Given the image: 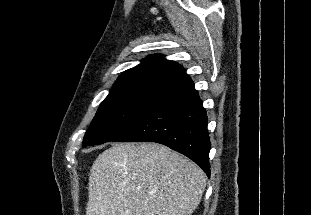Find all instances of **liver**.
<instances>
[{
    "label": "liver",
    "instance_id": "1",
    "mask_svg": "<svg viewBox=\"0 0 311 215\" xmlns=\"http://www.w3.org/2000/svg\"><path fill=\"white\" fill-rule=\"evenodd\" d=\"M206 187L194 162L157 143H120L89 176L86 215H191Z\"/></svg>",
    "mask_w": 311,
    "mask_h": 215
}]
</instances>
